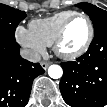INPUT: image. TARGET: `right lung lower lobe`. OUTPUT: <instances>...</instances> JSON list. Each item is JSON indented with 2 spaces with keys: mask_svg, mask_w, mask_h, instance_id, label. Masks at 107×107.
I'll list each match as a JSON object with an SVG mask.
<instances>
[{
  "mask_svg": "<svg viewBox=\"0 0 107 107\" xmlns=\"http://www.w3.org/2000/svg\"><path fill=\"white\" fill-rule=\"evenodd\" d=\"M16 42L0 40V107H24L29 99L33 80L45 71L19 55Z\"/></svg>",
  "mask_w": 107,
  "mask_h": 107,
  "instance_id": "obj_1",
  "label": "right lung lower lobe"
}]
</instances>
